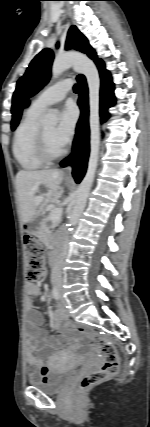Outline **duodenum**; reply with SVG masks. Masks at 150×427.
I'll use <instances>...</instances> for the list:
<instances>
[{
    "instance_id": "410a0bca",
    "label": "duodenum",
    "mask_w": 150,
    "mask_h": 427,
    "mask_svg": "<svg viewBox=\"0 0 150 427\" xmlns=\"http://www.w3.org/2000/svg\"><path fill=\"white\" fill-rule=\"evenodd\" d=\"M57 254L56 253H52L50 256V265L54 266L56 264L57 261Z\"/></svg>"
}]
</instances>
